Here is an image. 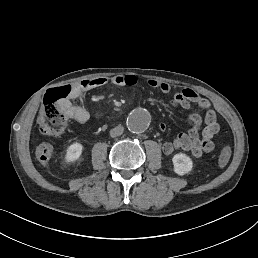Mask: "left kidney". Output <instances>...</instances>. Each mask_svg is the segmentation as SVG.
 I'll return each instance as SVG.
<instances>
[{"label": "left kidney", "instance_id": "5707ae66", "mask_svg": "<svg viewBox=\"0 0 258 258\" xmlns=\"http://www.w3.org/2000/svg\"><path fill=\"white\" fill-rule=\"evenodd\" d=\"M173 162L175 166V171L178 174H184L190 171L192 168L191 159L183 154L175 155L173 158Z\"/></svg>", "mask_w": 258, "mask_h": 258}]
</instances>
